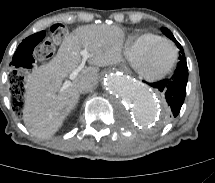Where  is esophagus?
<instances>
[{
	"mask_svg": "<svg viewBox=\"0 0 215 183\" xmlns=\"http://www.w3.org/2000/svg\"><path fill=\"white\" fill-rule=\"evenodd\" d=\"M122 68L125 69L126 67H125V66H122Z\"/></svg>",
	"mask_w": 215,
	"mask_h": 183,
	"instance_id": "1",
	"label": "esophagus"
}]
</instances>
